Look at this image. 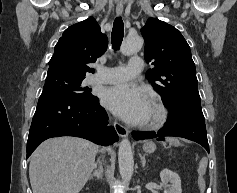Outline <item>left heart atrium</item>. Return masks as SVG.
Here are the masks:
<instances>
[{
    "label": "left heart atrium",
    "mask_w": 237,
    "mask_h": 193,
    "mask_svg": "<svg viewBox=\"0 0 237 193\" xmlns=\"http://www.w3.org/2000/svg\"><path fill=\"white\" fill-rule=\"evenodd\" d=\"M105 107L130 123L142 122L149 104L146 93L136 85L122 83L107 88L102 96Z\"/></svg>",
    "instance_id": "left-heart-atrium-1"
}]
</instances>
